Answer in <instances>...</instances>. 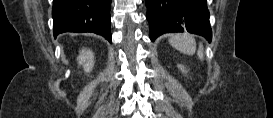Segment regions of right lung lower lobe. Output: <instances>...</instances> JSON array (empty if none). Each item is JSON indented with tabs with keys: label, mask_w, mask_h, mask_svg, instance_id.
<instances>
[{
	"label": "right lung lower lobe",
	"mask_w": 273,
	"mask_h": 118,
	"mask_svg": "<svg viewBox=\"0 0 273 118\" xmlns=\"http://www.w3.org/2000/svg\"><path fill=\"white\" fill-rule=\"evenodd\" d=\"M111 0H53L54 37L63 32H92L112 42Z\"/></svg>",
	"instance_id": "right-lung-lower-lobe-1"
}]
</instances>
